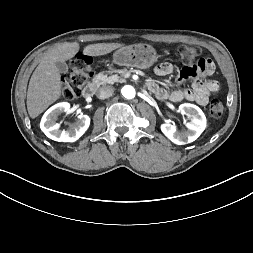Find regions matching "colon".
I'll return each instance as SVG.
<instances>
[{
	"label": "colon",
	"mask_w": 253,
	"mask_h": 253,
	"mask_svg": "<svg viewBox=\"0 0 253 253\" xmlns=\"http://www.w3.org/2000/svg\"><path fill=\"white\" fill-rule=\"evenodd\" d=\"M199 52L200 50L196 46L183 45L177 50V56L184 66L189 64L195 57H199ZM91 76L92 64L90 58L85 55L76 56L70 63L69 72L62 79V97L67 100L79 97ZM224 110L225 106L220 99L214 98L210 101L209 112L213 118L221 117Z\"/></svg>",
	"instance_id": "5ec220e1"
}]
</instances>
